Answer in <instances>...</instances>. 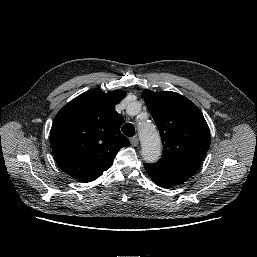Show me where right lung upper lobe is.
<instances>
[{"label": "right lung upper lobe", "instance_id": "cb5924a9", "mask_svg": "<svg viewBox=\"0 0 257 257\" xmlns=\"http://www.w3.org/2000/svg\"><path fill=\"white\" fill-rule=\"evenodd\" d=\"M126 92L88 91L65 105L54 118L50 145L63 172L81 182L97 179L122 147L130 145L120 132L123 116L114 109Z\"/></svg>", "mask_w": 257, "mask_h": 257}]
</instances>
